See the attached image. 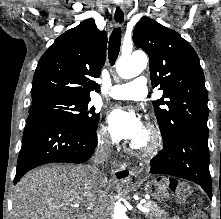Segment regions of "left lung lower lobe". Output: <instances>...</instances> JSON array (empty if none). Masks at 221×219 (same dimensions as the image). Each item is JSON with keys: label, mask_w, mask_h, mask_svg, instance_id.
Here are the masks:
<instances>
[{"label": "left lung lower lobe", "mask_w": 221, "mask_h": 219, "mask_svg": "<svg viewBox=\"0 0 221 219\" xmlns=\"http://www.w3.org/2000/svg\"><path fill=\"white\" fill-rule=\"evenodd\" d=\"M163 143V150L150 162V173L172 175L195 182L212 199L208 133L187 128Z\"/></svg>", "instance_id": "obj_1"}]
</instances>
